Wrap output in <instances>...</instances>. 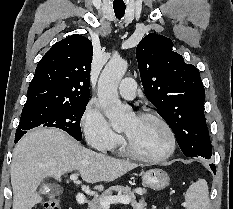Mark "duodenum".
I'll list each match as a JSON object with an SVG mask.
<instances>
[{"label":"duodenum","mask_w":233,"mask_h":209,"mask_svg":"<svg viewBox=\"0 0 233 209\" xmlns=\"http://www.w3.org/2000/svg\"><path fill=\"white\" fill-rule=\"evenodd\" d=\"M86 202H87V198H86V196H85L84 194L78 193V194L76 195V203H77L78 205L83 206V205L86 204Z\"/></svg>","instance_id":"1"}]
</instances>
